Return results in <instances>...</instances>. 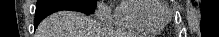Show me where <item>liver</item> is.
<instances>
[{
  "mask_svg": "<svg viewBox=\"0 0 219 37\" xmlns=\"http://www.w3.org/2000/svg\"><path fill=\"white\" fill-rule=\"evenodd\" d=\"M99 24L83 13L62 10L46 17L36 37H100Z\"/></svg>",
  "mask_w": 219,
  "mask_h": 37,
  "instance_id": "obj_1",
  "label": "liver"
}]
</instances>
